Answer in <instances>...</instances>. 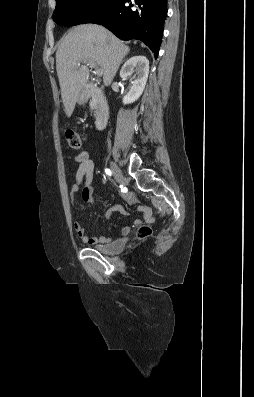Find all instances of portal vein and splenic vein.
<instances>
[{
    "mask_svg": "<svg viewBox=\"0 0 254 397\" xmlns=\"http://www.w3.org/2000/svg\"><path fill=\"white\" fill-rule=\"evenodd\" d=\"M86 65L95 68L94 74L96 76H101L103 74V70L101 68L96 67V63L92 60L84 61ZM81 64L78 63L77 66L79 67Z\"/></svg>",
    "mask_w": 254,
    "mask_h": 397,
    "instance_id": "1",
    "label": "portal vein and splenic vein"
}]
</instances>
